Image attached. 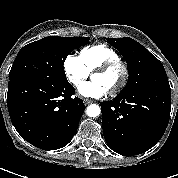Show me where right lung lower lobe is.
Segmentation results:
<instances>
[{"label": "right lung lower lobe", "mask_w": 178, "mask_h": 178, "mask_svg": "<svg viewBox=\"0 0 178 178\" xmlns=\"http://www.w3.org/2000/svg\"><path fill=\"white\" fill-rule=\"evenodd\" d=\"M67 79L9 81L7 106L20 136L33 146L55 150L72 139L84 112Z\"/></svg>", "instance_id": "obj_1"}]
</instances>
